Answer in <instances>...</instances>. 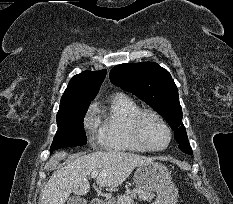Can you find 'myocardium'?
<instances>
[{
    "label": "myocardium",
    "mask_w": 233,
    "mask_h": 204,
    "mask_svg": "<svg viewBox=\"0 0 233 204\" xmlns=\"http://www.w3.org/2000/svg\"><path fill=\"white\" fill-rule=\"evenodd\" d=\"M146 116H153L166 129L167 135H168V139H167V143L164 146H162V147H151L145 141V139H144V137L142 135L141 125H142L143 119ZM130 129H131V133H132V136H133L135 142L142 149H144L145 151L159 152V151L165 150L170 145L171 140H172V130H171L169 124L167 123V121L163 118L162 115H160L158 112H156L154 110H151V109H143V110H140L137 114H135L133 116V118L131 119Z\"/></svg>",
    "instance_id": "1"
}]
</instances>
